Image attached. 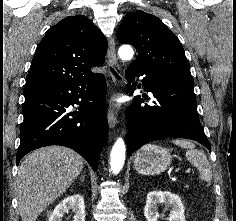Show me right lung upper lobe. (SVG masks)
<instances>
[{
    "label": "right lung upper lobe",
    "mask_w": 236,
    "mask_h": 221,
    "mask_svg": "<svg viewBox=\"0 0 236 221\" xmlns=\"http://www.w3.org/2000/svg\"><path fill=\"white\" fill-rule=\"evenodd\" d=\"M106 50L104 35L86 17L64 18L39 43L24 93L97 75L90 69L104 63Z\"/></svg>",
    "instance_id": "1"
}]
</instances>
